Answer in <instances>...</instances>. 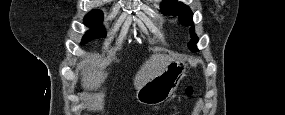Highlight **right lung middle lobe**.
Listing matches in <instances>:
<instances>
[{
	"label": "right lung middle lobe",
	"mask_w": 285,
	"mask_h": 115,
	"mask_svg": "<svg viewBox=\"0 0 285 115\" xmlns=\"http://www.w3.org/2000/svg\"><path fill=\"white\" fill-rule=\"evenodd\" d=\"M103 21V13L99 10L89 12L84 18V24L90 27V30L83 36L81 44H85L96 38L106 36L104 27L101 25Z\"/></svg>",
	"instance_id": "dd1d6c3e"
}]
</instances>
